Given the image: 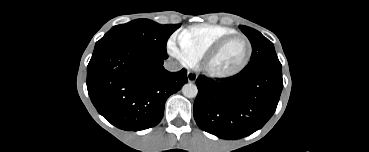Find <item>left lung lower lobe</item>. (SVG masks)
<instances>
[{"instance_id":"obj_1","label":"left lung lower lobe","mask_w":369,"mask_h":152,"mask_svg":"<svg viewBox=\"0 0 369 152\" xmlns=\"http://www.w3.org/2000/svg\"><path fill=\"white\" fill-rule=\"evenodd\" d=\"M194 118L204 131L227 140L248 136L274 114L283 88L282 69L263 66L235 76L196 80Z\"/></svg>"}]
</instances>
